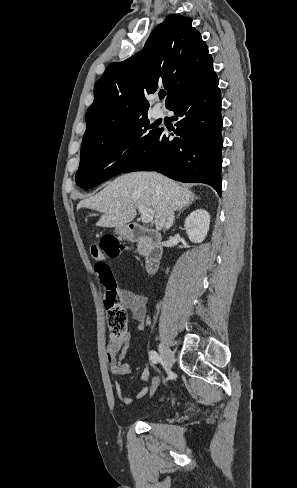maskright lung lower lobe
Wrapping results in <instances>:
<instances>
[{"instance_id":"1","label":"right lung lower lobe","mask_w":297,"mask_h":488,"mask_svg":"<svg viewBox=\"0 0 297 488\" xmlns=\"http://www.w3.org/2000/svg\"><path fill=\"white\" fill-rule=\"evenodd\" d=\"M169 110L177 120L173 133L159 130L146 150L123 172L157 171L181 182L212 186L221 196V96L218 78L177 100ZM176 135L174 139L170 136Z\"/></svg>"}]
</instances>
